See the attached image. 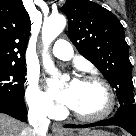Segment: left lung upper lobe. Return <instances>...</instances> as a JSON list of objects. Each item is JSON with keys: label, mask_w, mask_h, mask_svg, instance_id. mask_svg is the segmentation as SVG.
<instances>
[{"label": "left lung upper lobe", "mask_w": 136, "mask_h": 136, "mask_svg": "<svg viewBox=\"0 0 136 136\" xmlns=\"http://www.w3.org/2000/svg\"><path fill=\"white\" fill-rule=\"evenodd\" d=\"M62 11L70 40L116 89L120 106L135 104L128 45L118 18L88 0H67Z\"/></svg>", "instance_id": "left-lung-upper-lobe-1"}]
</instances>
